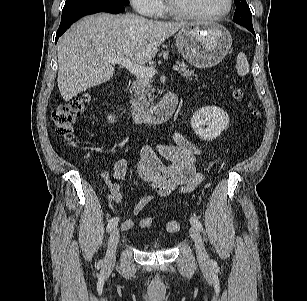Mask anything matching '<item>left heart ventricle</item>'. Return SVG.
I'll return each mask as SVG.
<instances>
[{
	"mask_svg": "<svg viewBox=\"0 0 307 301\" xmlns=\"http://www.w3.org/2000/svg\"><path fill=\"white\" fill-rule=\"evenodd\" d=\"M182 9L195 14L212 15L224 11L228 0H170Z\"/></svg>",
	"mask_w": 307,
	"mask_h": 301,
	"instance_id": "b2bd125f",
	"label": "left heart ventricle"
}]
</instances>
